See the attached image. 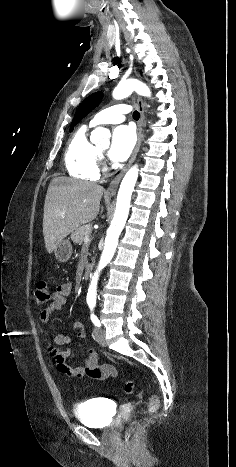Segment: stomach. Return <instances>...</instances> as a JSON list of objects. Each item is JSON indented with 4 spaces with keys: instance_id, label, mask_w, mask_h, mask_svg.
Masks as SVG:
<instances>
[{
    "instance_id": "0dacf381",
    "label": "stomach",
    "mask_w": 236,
    "mask_h": 467,
    "mask_svg": "<svg viewBox=\"0 0 236 467\" xmlns=\"http://www.w3.org/2000/svg\"><path fill=\"white\" fill-rule=\"evenodd\" d=\"M72 245L69 240H62L54 249V254L59 262H66L72 255Z\"/></svg>"
}]
</instances>
